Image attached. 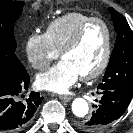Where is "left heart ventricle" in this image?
Wrapping results in <instances>:
<instances>
[{
  "label": "left heart ventricle",
  "instance_id": "1",
  "mask_svg": "<svg viewBox=\"0 0 133 133\" xmlns=\"http://www.w3.org/2000/svg\"><path fill=\"white\" fill-rule=\"evenodd\" d=\"M106 46V32L102 25L93 24L85 32L80 44L66 53L63 59L68 60L80 73L88 74L100 64Z\"/></svg>",
  "mask_w": 133,
  "mask_h": 133
}]
</instances>
